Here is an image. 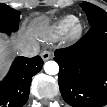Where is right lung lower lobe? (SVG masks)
<instances>
[{
  "label": "right lung lower lobe",
  "instance_id": "obj_1",
  "mask_svg": "<svg viewBox=\"0 0 107 107\" xmlns=\"http://www.w3.org/2000/svg\"><path fill=\"white\" fill-rule=\"evenodd\" d=\"M42 66L43 60L40 56L17 57L7 76L0 82L1 107L24 105L29 97L32 77L41 70Z\"/></svg>",
  "mask_w": 107,
  "mask_h": 107
}]
</instances>
